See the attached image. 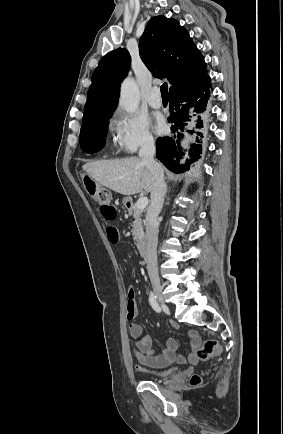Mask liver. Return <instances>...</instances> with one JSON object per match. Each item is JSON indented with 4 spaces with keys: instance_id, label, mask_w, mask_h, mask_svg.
I'll return each mask as SVG.
<instances>
[{
    "instance_id": "1",
    "label": "liver",
    "mask_w": 283,
    "mask_h": 434,
    "mask_svg": "<svg viewBox=\"0 0 283 434\" xmlns=\"http://www.w3.org/2000/svg\"><path fill=\"white\" fill-rule=\"evenodd\" d=\"M82 170L97 183L126 196L142 190L150 193L154 185L152 172L136 156L87 162Z\"/></svg>"
}]
</instances>
